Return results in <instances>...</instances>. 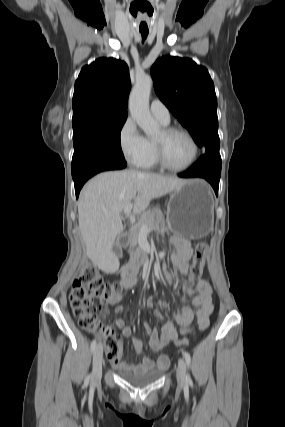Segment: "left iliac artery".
<instances>
[{
	"label": "left iliac artery",
	"mask_w": 285,
	"mask_h": 427,
	"mask_svg": "<svg viewBox=\"0 0 285 427\" xmlns=\"http://www.w3.org/2000/svg\"><path fill=\"white\" fill-rule=\"evenodd\" d=\"M183 355H184V358H185L186 364H187V366L189 367V366H190V363H191V357H190V354H189L188 352H184V353H183ZM186 382H187L188 384H191V383H192V380H191V377H190V375H189V374H187V375H186Z\"/></svg>",
	"instance_id": "1"
}]
</instances>
